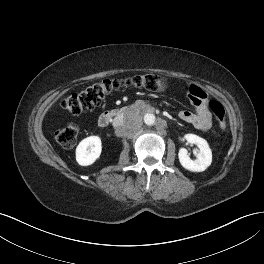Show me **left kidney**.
I'll return each instance as SVG.
<instances>
[{"label":"left kidney","instance_id":"1","mask_svg":"<svg viewBox=\"0 0 264 264\" xmlns=\"http://www.w3.org/2000/svg\"><path fill=\"white\" fill-rule=\"evenodd\" d=\"M185 139L190 144H195L199 148L197 158L192 160L185 148H181L178 152V158L181 165L193 172H202L211 165L212 151L207 141L194 134H186Z\"/></svg>","mask_w":264,"mask_h":264}]
</instances>
